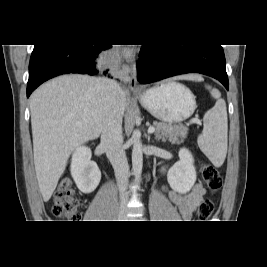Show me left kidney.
Returning a JSON list of instances; mask_svg holds the SVG:
<instances>
[{
    "label": "left kidney",
    "mask_w": 267,
    "mask_h": 267,
    "mask_svg": "<svg viewBox=\"0 0 267 267\" xmlns=\"http://www.w3.org/2000/svg\"><path fill=\"white\" fill-rule=\"evenodd\" d=\"M191 152L182 148L179 151V161L167 173L170 187L180 194L189 192L196 182V170Z\"/></svg>",
    "instance_id": "5707ae66"
}]
</instances>
